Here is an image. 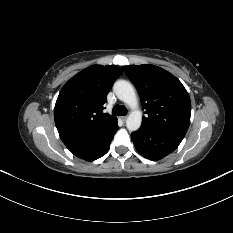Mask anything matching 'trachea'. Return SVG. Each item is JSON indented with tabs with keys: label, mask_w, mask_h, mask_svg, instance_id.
Instances as JSON below:
<instances>
[{
	"label": "trachea",
	"mask_w": 233,
	"mask_h": 233,
	"mask_svg": "<svg viewBox=\"0 0 233 233\" xmlns=\"http://www.w3.org/2000/svg\"><path fill=\"white\" fill-rule=\"evenodd\" d=\"M114 116H125L127 114V108L122 105H115L112 110Z\"/></svg>",
	"instance_id": "1"
}]
</instances>
